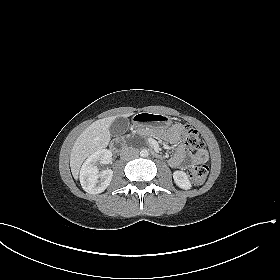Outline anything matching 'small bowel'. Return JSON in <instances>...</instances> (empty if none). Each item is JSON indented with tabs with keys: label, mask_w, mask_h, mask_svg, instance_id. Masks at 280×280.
Here are the masks:
<instances>
[{
	"label": "small bowel",
	"mask_w": 280,
	"mask_h": 280,
	"mask_svg": "<svg viewBox=\"0 0 280 280\" xmlns=\"http://www.w3.org/2000/svg\"><path fill=\"white\" fill-rule=\"evenodd\" d=\"M182 126L175 125L167 132V140L176 146V151L169 159V165L173 168L186 169L194 164H202L207 162L208 154L205 149L191 154L186 151L185 145L181 140Z\"/></svg>",
	"instance_id": "obj_1"
}]
</instances>
